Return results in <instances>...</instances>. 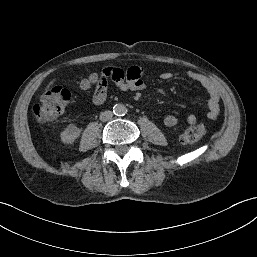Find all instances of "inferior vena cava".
<instances>
[{"mask_svg": "<svg viewBox=\"0 0 257 257\" xmlns=\"http://www.w3.org/2000/svg\"><path fill=\"white\" fill-rule=\"evenodd\" d=\"M112 116H113L112 111L106 110V111H104V112H101V114H100V120L103 121V122H105V121L110 120V119L112 118Z\"/></svg>", "mask_w": 257, "mask_h": 257, "instance_id": "inferior-vena-cava-1", "label": "inferior vena cava"}]
</instances>
